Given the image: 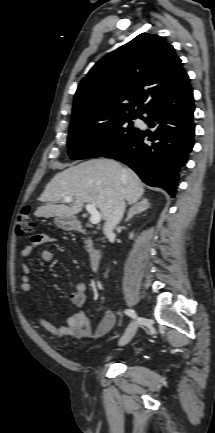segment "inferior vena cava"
Returning <instances> with one entry per match:
<instances>
[{"mask_svg":"<svg viewBox=\"0 0 215 433\" xmlns=\"http://www.w3.org/2000/svg\"><path fill=\"white\" fill-rule=\"evenodd\" d=\"M125 207H126L125 201L123 199L120 200V202L117 203V205L114 207L111 214L106 219L103 226V232L106 236L113 233L114 228L119 224V222L123 218Z\"/></svg>","mask_w":215,"mask_h":433,"instance_id":"1","label":"inferior vena cava"}]
</instances>
